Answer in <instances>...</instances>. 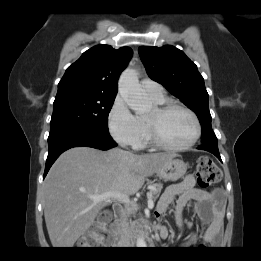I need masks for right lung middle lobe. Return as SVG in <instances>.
Here are the masks:
<instances>
[{
	"instance_id": "right-lung-middle-lobe-1",
	"label": "right lung middle lobe",
	"mask_w": 261,
	"mask_h": 261,
	"mask_svg": "<svg viewBox=\"0 0 261 261\" xmlns=\"http://www.w3.org/2000/svg\"><path fill=\"white\" fill-rule=\"evenodd\" d=\"M115 96L57 94L53 104L50 131L90 127L108 131V114Z\"/></svg>"
}]
</instances>
